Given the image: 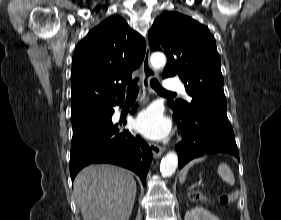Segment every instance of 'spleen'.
I'll use <instances>...</instances> for the list:
<instances>
[{
    "label": "spleen",
    "instance_id": "obj_1",
    "mask_svg": "<svg viewBox=\"0 0 281 220\" xmlns=\"http://www.w3.org/2000/svg\"><path fill=\"white\" fill-rule=\"evenodd\" d=\"M206 159V156L201 158H196L190 161L185 167L181 170L179 181L180 183H184L187 172L190 167L194 164L201 162ZM218 175L228 184L233 185L235 183L234 175L230 169V167L226 163H220L217 170Z\"/></svg>",
    "mask_w": 281,
    "mask_h": 220
}]
</instances>
